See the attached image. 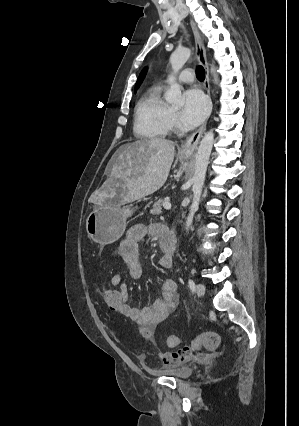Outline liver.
<instances>
[{"mask_svg": "<svg viewBox=\"0 0 299 426\" xmlns=\"http://www.w3.org/2000/svg\"><path fill=\"white\" fill-rule=\"evenodd\" d=\"M174 156V142L163 138L140 139L121 146L102 196H115L114 187L121 183L123 204L153 194L166 182Z\"/></svg>", "mask_w": 299, "mask_h": 426, "instance_id": "liver-1", "label": "liver"}]
</instances>
